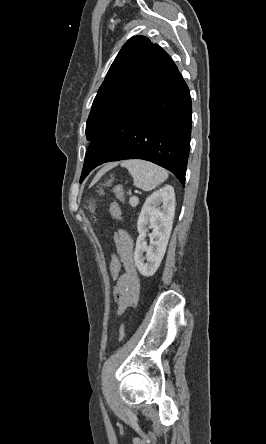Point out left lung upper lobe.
I'll list each match as a JSON object with an SVG mask.
<instances>
[{"label":"left lung upper lobe","instance_id":"obj_1","mask_svg":"<svg viewBox=\"0 0 266 444\" xmlns=\"http://www.w3.org/2000/svg\"><path fill=\"white\" fill-rule=\"evenodd\" d=\"M169 55L145 36L130 38L113 61L94 99L87 123V140L176 69Z\"/></svg>","mask_w":266,"mask_h":444}]
</instances>
